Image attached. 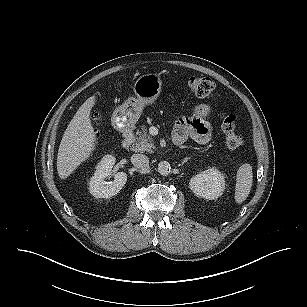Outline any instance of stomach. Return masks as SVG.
Masks as SVG:
<instances>
[{
    "label": "stomach",
    "instance_id": "obj_1",
    "mask_svg": "<svg viewBox=\"0 0 307 307\" xmlns=\"http://www.w3.org/2000/svg\"><path fill=\"white\" fill-rule=\"evenodd\" d=\"M162 86V80L157 74L140 76L133 85L136 97H129L114 110L112 114L114 128L119 131L132 128L140 118L144 106L156 101Z\"/></svg>",
    "mask_w": 307,
    "mask_h": 307
}]
</instances>
